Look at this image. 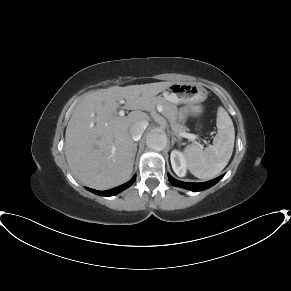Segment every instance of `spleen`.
<instances>
[{"label":"spleen","instance_id":"3e777b00","mask_svg":"<svg viewBox=\"0 0 291 291\" xmlns=\"http://www.w3.org/2000/svg\"><path fill=\"white\" fill-rule=\"evenodd\" d=\"M217 134L213 145L201 149L196 145H187L184 149L190 172L199 179H210L218 175L228 164L235 141L233 122L223 107L217 111Z\"/></svg>","mask_w":291,"mask_h":291}]
</instances>
